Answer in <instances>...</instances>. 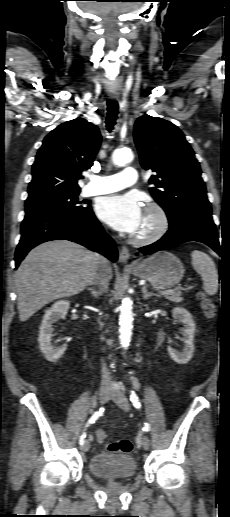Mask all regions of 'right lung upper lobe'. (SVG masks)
<instances>
[{
  "instance_id": "right-lung-upper-lobe-1",
  "label": "right lung upper lobe",
  "mask_w": 230,
  "mask_h": 517,
  "mask_svg": "<svg viewBox=\"0 0 230 517\" xmlns=\"http://www.w3.org/2000/svg\"><path fill=\"white\" fill-rule=\"evenodd\" d=\"M101 143L96 125L83 118L67 121L43 140L32 166L26 201L80 191L81 173L91 167Z\"/></svg>"
}]
</instances>
